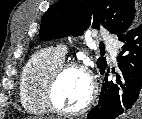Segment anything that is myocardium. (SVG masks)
Returning <instances> with one entry per match:
<instances>
[{
	"instance_id": "1",
	"label": "myocardium",
	"mask_w": 142,
	"mask_h": 119,
	"mask_svg": "<svg viewBox=\"0 0 142 119\" xmlns=\"http://www.w3.org/2000/svg\"><path fill=\"white\" fill-rule=\"evenodd\" d=\"M71 70L82 72L88 79L89 96L85 103L75 110H64L58 106L55 100V92L63 75ZM97 97V84L91 70L84 64L75 61L61 63L50 75L44 90V99L50 112L61 116H77L92 107Z\"/></svg>"
}]
</instances>
